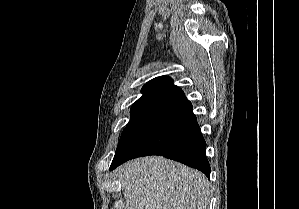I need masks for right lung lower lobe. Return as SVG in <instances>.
Here are the masks:
<instances>
[{
	"mask_svg": "<svg viewBox=\"0 0 299 209\" xmlns=\"http://www.w3.org/2000/svg\"><path fill=\"white\" fill-rule=\"evenodd\" d=\"M147 155H161L210 176L206 142L192 111V104L182 90L158 105L114 157L110 170L125 161Z\"/></svg>",
	"mask_w": 299,
	"mask_h": 209,
	"instance_id": "1",
	"label": "right lung lower lobe"
}]
</instances>
